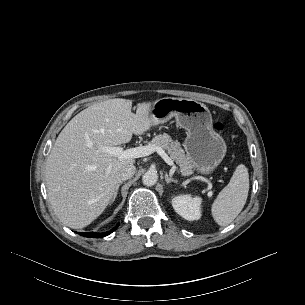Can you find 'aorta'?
Instances as JSON below:
<instances>
[{
  "label": "aorta",
  "instance_id": "aorta-1",
  "mask_svg": "<svg viewBox=\"0 0 305 305\" xmlns=\"http://www.w3.org/2000/svg\"><path fill=\"white\" fill-rule=\"evenodd\" d=\"M158 180L157 172L154 170H148L143 176H142V182L146 186H153L156 184Z\"/></svg>",
  "mask_w": 305,
  "mask_h": 305
}]
</instances>
